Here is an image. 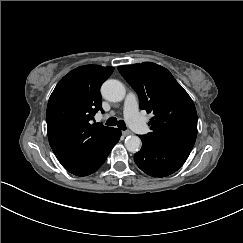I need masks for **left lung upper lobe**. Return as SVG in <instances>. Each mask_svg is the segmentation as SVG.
<instances>
[{"mask_svg": "<svg viewBox=\"0 0 243 243\" xmlns=\"http://www.w3.org/2000/svg\"><path fill=\"white\" fill-rule=\"evenodd\" d=\"M121 75L137 92L140 108L153 113L152 130L144 139L176 149L191 151L197 136L195 105L164 67L151 62L118 67Z\"/></svg>", "mask_w": 243, "mask_h": 243, "instance_id": "left-lung-upper-lobe-1", "label": "left lung upper lobe"}]
</instances>
